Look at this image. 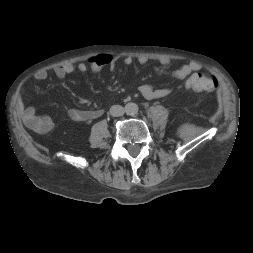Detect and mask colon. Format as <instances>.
<instances>
[{"label": "colon", "instance_id": "obj_1", "mask_svg": "<svg viewBox=\"0 0 253 253\" xmlns=\"http://www.w3.org/2000/svg\"><path fill=\"white\" fill-rule=\"evenodd\" d=\"M186 87L192 91L212 93L217 89L218 83L212 77L195 73L187 79Z\"/></svg>", "mask_w": 253, "mask_h": 253}]
</instances>
